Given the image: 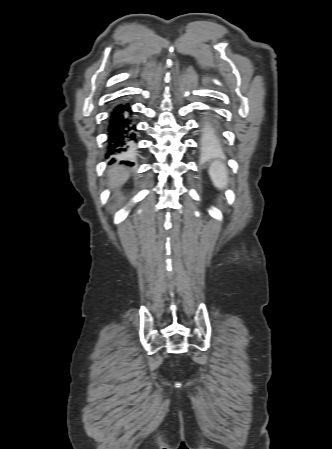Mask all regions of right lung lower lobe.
I'll list each match as a JSON object with an SVG mask.
<instances>
[{
  "mask_svg": "<svg viewBox=\"0 0 332 449\" xmlns=\"http://www.w3.org/2000/svg\"><path fill=\"white\" fill-rule=\"evenodd\" d=\"M129 104H117L110 113L108 126V146L106 158L109 156L128 157L136 141V126L131 119ZM115 162L113 158L110 163ZM126 162L127 161H122Z\"/></svg>",
  "mask_w": 332,
  "mask_h": 449,
  "instance_id": "1",
  "label": "right lung lower lobe"
}]
</instances>
